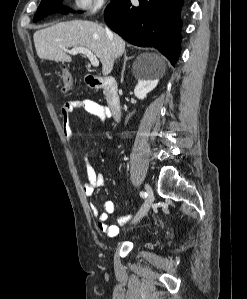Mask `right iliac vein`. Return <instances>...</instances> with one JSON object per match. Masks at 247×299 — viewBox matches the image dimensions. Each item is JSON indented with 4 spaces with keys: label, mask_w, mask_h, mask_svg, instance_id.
I'll return each mask as SVG.
<instances>
[{
    "label": "right iliac vein",
    "mask_w": 247,
    "mask_h": 299,
    "mask_svg": "<svg viewBox=\"0 0 247 299\" xmlns=\"http://www.w3.org/2000/svg\"><path fill=\"white\" fill-rule=\"evenodd\" d=\"M145 189L147 192V198L143 204V206L141 207V209L139 210V212L136 214V216L134 217L132 223H137L139 222L149 211L151 204L153 202V191L152 188L150 187L149 184L145 185Z\"/></svg>",
    "instance_id": "right-iliac-vein-1"
}]
</instances>
